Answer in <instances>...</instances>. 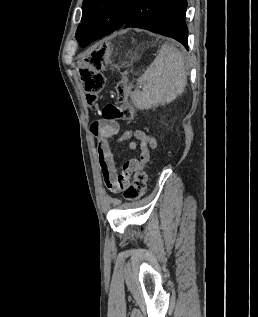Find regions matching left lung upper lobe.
Masks as SVG:
<instances>
[{
	"instance_id": "5c2ea615",
	"label": "left lung upper lobe",
	"mask_w": 258,
	"mask_h": 317,
	"mask_svg": "<svg viewBox=\"0 0 258 317\" xmlns=\"http://www.w3.org/2000/svg\"><path fill=\"white\" fill-rule=\"evenodd\" d=\"M133 0H83L82 19L76 31L78 42L98 28H120Z\"/></svg>"
}]
</instances>
